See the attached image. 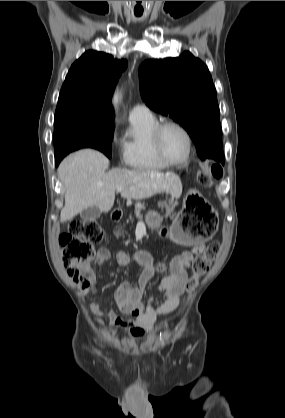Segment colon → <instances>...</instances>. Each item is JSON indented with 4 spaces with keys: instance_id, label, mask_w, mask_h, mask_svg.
Here are the masks:
<instances>
[{
    "instance_id": "5ec220e1",
    "label": "colon",
    "mask_w": 285,
    "mask_h": 418,
    "mask_svg": "<svg viewBox=\"0 0 285 418\" xmlns=\"http://www.w3.org/2000/svg\"><path fill=\"white\" fill-rule=\"evenodd\" d=\"M223 170L219 166L203 167L200 170L198 181L203 186H210L213 179L221 178ZM101 227L96 222H84L73 219L68 230L59 237L64 258V267L73 282L80 289L91 287V275L88 261L97 251V244L102 240ZM220 251L219 242H211L196 255L192 264V275L188 280V287L194 288L198 277L203 274Z\"/></svg>"
}]
</instances>
